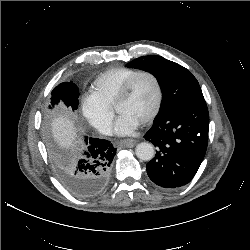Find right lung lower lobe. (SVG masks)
Instances as JSON below:
<instances>
[{"label": "right lung lower lobe", "mask_w": 250, "mask_h": 250, "mask_svg": "<svg viewBox=\"0 0 250 250\" xmlns=\"http://www.w3.org/2000/svg\"><path fill=\"white\" fill-rule=\"evenodd\" d=\"M85 145L80 159L61 166L60 175L73 194L89 198L105 188L116 149L98 138L85 137Z\"/></svg>", "instance_id": "98d812e1"}]
</instances>
